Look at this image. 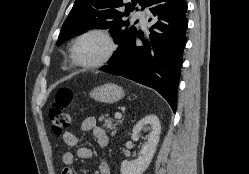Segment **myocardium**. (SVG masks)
<instances>
[{"mask_svg": "<svg viewBox=\"0 0 249 174\" xmlns=\"http://www.w3.org/2000/svg\"><path fill=\"white\" fill-rule=\"evenodd\" d=\"M91 35L101 36L106 41L108 48L105 55L98 61L93 63H84L79 59L77 55V47L82 39ZM116 50H117V43L111 32L106 28L96 27L88 29L87 31L83 32L80 36L76 38V40L73 43L71 53H72V59L76 65L85 69H95L102 67L103 65L108 63L113 58L114 54L116 53Z\"/></svg>", "mask_w": 249, "mask_h": 174, "instance_id": "f54148a6", "label": "myocardium"}]
</instances>
